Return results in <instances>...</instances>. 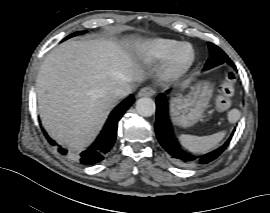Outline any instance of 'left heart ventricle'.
Wrapping results in <instances>:
<instances>
[{
    "label": "left heart ventricle",
    "mask_w": 270,
    "mask_h": 213,
    "mask_svg": "<svg viewBox=\"0 0 270 213\" xmlns=\"http://www.w3.org/2000/svg\"><path fill=\"white\" fill-rule=\"evenodd\" d=\"M186 53H187V49L185 48V49L182 50V54L185 55Z\"/></svg>",
    "instance_id": "obj_1"
}]
</instances>
